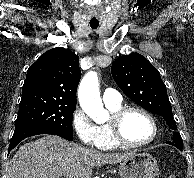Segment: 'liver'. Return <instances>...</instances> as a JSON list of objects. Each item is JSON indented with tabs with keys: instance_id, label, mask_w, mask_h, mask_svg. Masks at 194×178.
I'll return each instance as SVG.
<instances>
[{
	"instance_id": "liver-1",
	"label": "liver",
	"mask_w": 194,
	"mask_h": 178,
	"mask_svg": "<svg viewBox=\"0 0 194 178\" xmlns=\"http://www.w3.org/2000/svg\"><path fill=\"white\" fill-rule=\"evenodd\" d=\"M134 153H102L56 135L22 145L8 164L7 178H91L92 167L121 163Z\"/></svg>"
}]
</instances>
